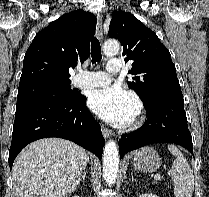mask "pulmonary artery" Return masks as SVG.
Wrapping results in <instances>:
<instances>
[{"label": "pulmonary artery", "instance_id": "pulmonary-artery-1", "mask_svg": "<svg viewBox=\"0 0 209 197\" xmlns=\"http://www.w3.org/2000/svg\"><path fill=\"white\" fill-rule=\"evenodd\" d=\"M106 72L90 71L85 72L82 77L75 79L77 87H99L111 82L110 74H117L121 70V61L118 58L109 61Z\"/></svg>", "mask_w": 209, "mask_h": 197}]
</instances>
